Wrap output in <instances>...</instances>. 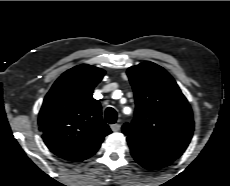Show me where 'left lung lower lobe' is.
<instances>
[{"label":"left lung lower lobe","instance_id":"obj_1","mask_svg":"<svg viewBox=\"0 0 230 186\" xmlns=\"http://www.w3.org/2000/svg\"><path fill=\"white\" fill-rule=\"evenodd\" d=\"M133 158L144 168L155 169L168 166L171 162L159 159H151L132 153Z\"/></svg>","mask_w":230,"mask_h":186}]
</instances>
